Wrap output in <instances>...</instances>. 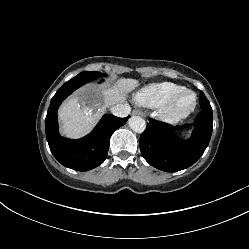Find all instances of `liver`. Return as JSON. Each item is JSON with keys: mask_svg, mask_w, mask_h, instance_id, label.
Masks as SVG:
<instances>
[{"mask_svg": "<svg viewBox=\"0 0 249 249\" xmlns=\"http://www.w3.org/2000/svg\"><path fill=\"white\" fill-rule=\"evenodd\" d=\"M138 85L139 82L135 79L122 78L115 86L101 93L93 87L83 89L68 99L59 110L63 133L71 138L87 134L106 108L124 102L127 94Z\"/></svg>", "mask_w": 249, "mask_h": 249, "instance_id": "1", "label": "liver"}]
</instances>
